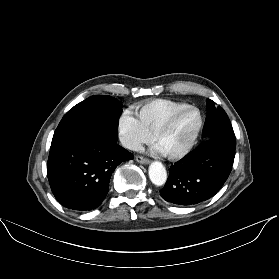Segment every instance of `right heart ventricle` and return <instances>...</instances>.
Returning <instances> with one entry per match:
<instances>
[{"instance_id":"1","label":"right heart ventricle","mask_w":279,"mask_h":279,"mask_svg":"<svg viewBox=\"0 0 279 279\" xmlns=\"http://www.w3.org/2000/svg\"><path fill=\"white\" fill-rule=\"evenodd\" d=\"M187 103L169 99H154L140 103L134 107L140 122L153 136L167 118Z\"/></svg>"}]
</instances>
